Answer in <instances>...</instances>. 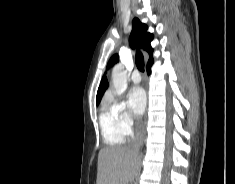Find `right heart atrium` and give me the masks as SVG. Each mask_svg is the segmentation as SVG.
Wrapping results in <instances>:
<instances>
[{"label":"right heart atrium","instance_id":"obj_1","mask_svg":"<svg viewBox=\"0 0 235 184\" xmlns=\"http://www.w3.org/2000/svg\"><path fill=\"white\" fill-rule=\"evenodd\" d=\"M107 102L111 105L117 126L125 138H130L141 131V126L135 123L123 101L115 100L112 96H109Z\"/></svg>","mask_w":235,"mask_h":184}]
</instances>
